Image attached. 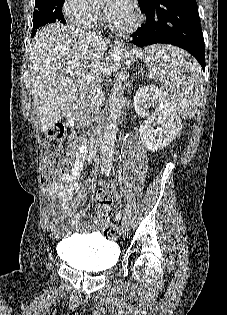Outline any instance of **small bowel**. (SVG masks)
Returning a JSON list of instances; mask_svg holds the SVG:
<instances>
[{
	"label": "small bowel",
	"mask_w": 227,
	"mask_h": 315,
	"mask_svg": "<svg viewBox=\"0 0 227 315\" xmlns=\"http://www.w3.org/2000/svg\"><path fill=\"white\" fill-rule=\"evenodd\" d=\"M74 156L71 170L64 174L58 182L46 188L48 195L47 222L55 232H59L62 224L67 219H70L76 226L79 225L82 214L88 212L86 209L80 208L86 197L75 192L76 181L87 163V146L83 144L77 146L74 149ZM101 186L107 187L106 184H101ZM115 198L116 195H112V200ZM119 218L120 212H117L115 219ZM99 225L101 226L100 223Z\"/></svg>",
	"instance_id": "c3829d8e"
}]
</instances>
